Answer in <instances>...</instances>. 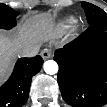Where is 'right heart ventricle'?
Instances as JSON below:
<instances>
[{
	"label": "right heart ventricle",
	"mask_w": 107,
	"mask_h": 107,
	"mask_svg": "<svg viewBox=\"0 0 107 107\" xmlns=\"http://www.w3.org/2000/svg\"><path fill=\"white\" fill-rule=\"evenodd\" d=\"M73 21V18L64 20L57 28L58 33L65 32L72 25Z\"/></svg>",
	"instance_id": "obj_1"
}]
</instances>
